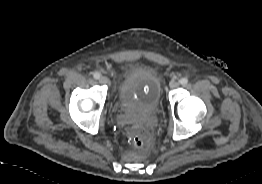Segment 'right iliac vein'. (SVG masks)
Here are the masks:
<instances>
[{"label":"right iliac vein","instance_id":"right-iliac-vein-1","mask_svg":"<svg viewBox=\"0 0 262 184\" xmlns=\"http://www.w3.org/2000/svg\"><path fill=\"white\" fill-rule=\"evenodd\" d=\"M100 83L101 84H104V85H110V80L109 78L105 77V76H102L100 79H99Z\"/></svg>","mask_w":262,"mask_h":184}]
</instances>
